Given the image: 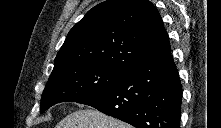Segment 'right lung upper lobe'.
<instances>
[{
	"label": "right lung upper lobe",
	"instance_id": "1",
	"mask_svg": "<svg viewBox=\"0 0 221 128\" xmlns=\"http://www.w3.org/2000/svg\"><path fill=\"white\" fill-rule=\"evenodd\" d=\"M169 50L162 18L150 1L107 0L70 30L52 72L85 65L127 71Z\"/></svg>",
	"mask_w": 221,
	"mask_h": 128
}]
</instances>
